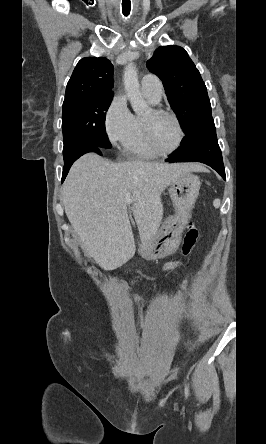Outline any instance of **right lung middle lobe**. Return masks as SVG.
Returning <instances> with one entry per match:
<instances>
[{
	"label": "right lung middle lobe",
	"instance_id": "obj_1",
	"mask_svg": "<svg viewBox=\"0 0 266 444\" xmlns=\"http://www.w3.org/2000/svg\"><path fill=\"white\" fill-rule=\"evenodd\" d=\"M112 98L113 94H103L63 103L64 161L86 145L111 148L105 130V116Z\"/></svg>",
	"mask_w": 266,
	"mask_h": 444
}]
</instances>
